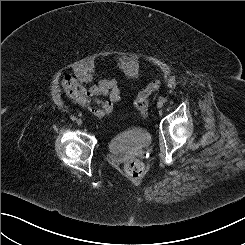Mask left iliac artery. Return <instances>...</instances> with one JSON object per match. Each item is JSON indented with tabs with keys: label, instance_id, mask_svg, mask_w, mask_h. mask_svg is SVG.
Masks as SVG:
<instances>
[{
	"label": "left iliac artery",
	"instance_id": "left-iliac-artery-1",
	"mask_svg": "<svg viewBox=\"0 0 245 245\" xmlns=\"http://www.w3.org/2000/svg\"><path fill=\"white\" fill-rule=\"evenodd\" d=\"M162 103H165V102H167V99L166 98H161V100H160Z\"/></svg>",
	"mask_w": 245,
	"mask_h": 245
}]
</instances>
